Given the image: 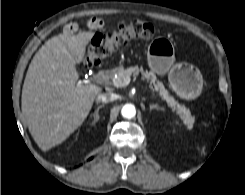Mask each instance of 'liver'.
<instances>
[{
  "instance_id": "6515ba94",
  "label": "liver",
  "mask_w": 245,
  "mask_h": 195,
  "mask_svg": "<svg viewBox=\"0 0 245 195\" xmlns=\"http://www.w3.org/2000/svg\"><path fill=\"white\" fill-rule=\"evenodd\" d=\"M93 36V32H82L52 37L29 65L21 107L29 132L43 151L62 143L81 126L102 91L79 82L76 70Z\"/></svg>"
}]
</instances>
